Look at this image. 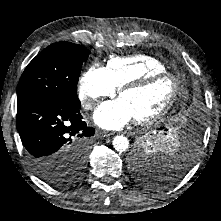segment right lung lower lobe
Instances as JSON below:
<instances>
[{"label": "right lung lower lobe", "mask_w": 221, "mask_h": 221, "mask_svg": "<svg viewBox=\"0 0 221 221\" xmlns=\"http://www.w3.org/2000/svg\"><path fill=\"white\" fill-rule=\"evenodd\" d=\"M80 114V104L34 98L17 105L16 125L37 175L51 164L63 165L73 146L94 134Z\"/></svg>", "instance_id": "obj_1"}]
</instances>
